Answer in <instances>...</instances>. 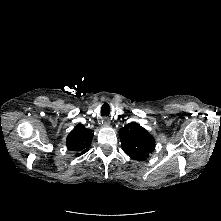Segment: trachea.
<instances>
[{"label":"trachea","mask_w":221,"mask_h":221,"mask_svg":"<svg viewBox=\"0 0 221 221\" xmlns=\"http://www.w3.org/2000/svg\"><path fill=\"white\" fill-rule=\"evenodd\" d=\"M109 114H110V106L108 103H104L101 107V115L109 116Z\"/></svg>","instance_id":"obj_1"}]
</instances>
